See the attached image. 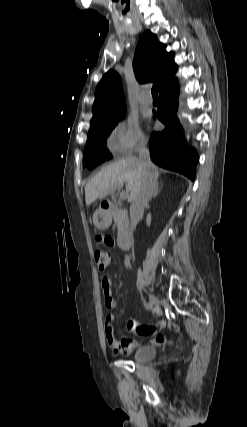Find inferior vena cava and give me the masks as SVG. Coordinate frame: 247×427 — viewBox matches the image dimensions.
Returning a JSON list of instances; mask_svg holds the SVG:
<instances>
[{"label": "inferior vena cava", "mask_w": 247, "mask_h": 427, "mask_svg": "<svg viewBox=\"0 0 247 427\" xmlns=\"http://www.w3.org/2000/svg\"><path fill=\"white\" fill-rule=\"evenodd\" d=\"M138 153L143 177L141 187L132 199L130 206L131 232L135 230L138 221L142 218L144 209L148 206V202L155 193L157 186V177L152 171L153 164L150 159L146 140L140 142Z\"/></svg>", "instance_id": "inferior-vena-cava-1"}]
</instances>
